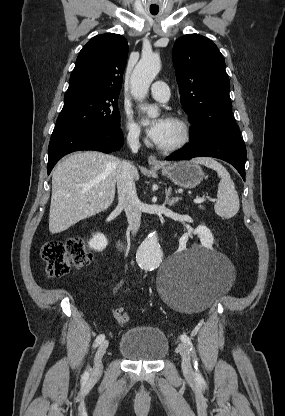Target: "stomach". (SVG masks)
<instances>
[{
  "mask_svg": "<svg viewBox=\"0 0 285 416\" xmlns=\"http://www.w3.org/2000/svg\"><path fill=\"white\" fill-rule=\"evenodd\" d=\"M161 172L181 188H196L204 178L200 166L192 162H176L171 166H161Z\"/></svg>",
  "mask_w": 285,
  "mask_h": 416,
  "instance_id": "stomach-1",
  "label": "stomach"
}]
</instances>
